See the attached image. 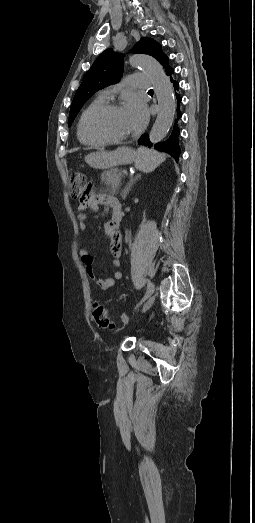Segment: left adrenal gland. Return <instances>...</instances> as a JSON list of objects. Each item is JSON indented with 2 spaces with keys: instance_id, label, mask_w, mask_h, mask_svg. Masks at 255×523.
Wrapping results in <instances>:
<instances>
[{
  "instance_id": "a2214340",
  "label": "left adrenal gland",
  "mask_w": 255,
  "mask_h": 523,
  "mask_svg": "<svg viewBox=\"0 0 255 523\" xmlns=\"http://www.w3.org/2000/svg\"><path fill=\"white\" fill-rule=\"evenodd\" d=\"M138 178H140V174H137V176H130L129 182H128L126 188H124V190H122L121 196H122L123 200H126L131 186H133L134 182H136V180H138Z\"/></svg>"
}]
</instances>
